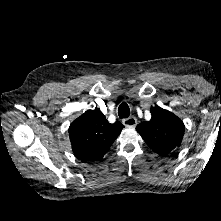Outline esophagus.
<instances>
[{"instance_id":"esophagus-1","label":"esophagus","mask_w":221,"mask_h":221,"mask_svg":"<svg viewBox=\"0 0 221 221\" xmlns=\"http://www.w3.org/2000/svg\"><path fill=\"white\" fill-rule=\"evenodd\" d=\"M123 124L128 128H134L137 125V119L135 117H129L123 120Z\"/></svg>"}]
</instances>
